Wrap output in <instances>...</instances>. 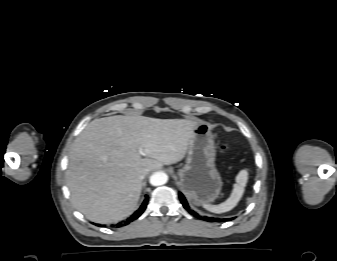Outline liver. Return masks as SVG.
<instances>
[{
    "instance_id": "liver-1",
    "label": "liver",
    "mask_w": 337,
    "mask_h": 261,
    "mask_svg": "<svg viewBox=\"0 0 337 261\" xmlns=\"http://www.w3.org/2000/svg\"><path fill=\"white\" fill-rule=\"evenodd\" d=\"M199 123L123 115L90 122L69 153L66 184L75 208L101 224L128 217L141 195L140 172L181 161Z\"/></svg>"
}]
</instances>
